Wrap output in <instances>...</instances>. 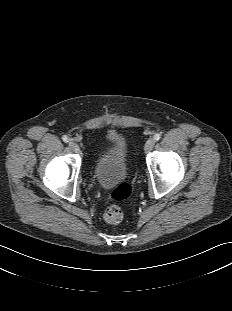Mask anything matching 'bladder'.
<instances>
[{"label":"bladder","instance_id":"bladder-1","mask_svg":"<svg viewBox=\"0 0 232 311\" xmlns=\"http://www.w3.org/2000/svg\"><path fill=\"white\" fill-rule=\"evenodd\" d=\"M127 155L125 138L117 131L108 132L93 170L94 179L101 187L109 189L123 183L127 176Z\"/></svg>","mask_w":232,"mask_h":311}]
</instances>
